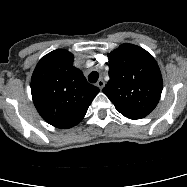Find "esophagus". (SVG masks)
Returning a JSON list of instances; mask_svg holds the SVG:
<instances>
[{"instance_id": "obj_1", "label": "esophagus", "mask_w": 187, "mask_h": 187, "mask_svg": "<svg viewBox=\"0 0 187 187\" xmlns=\"http://www.w3.org/2000/svg\"><path fill=\"white\" fill-rule=\"evenodd\" d=\"M97 87L99 89H103V87L105 86V82L103 81V79H100L97 83H96Z\"/></svg>"}]
</instances>
